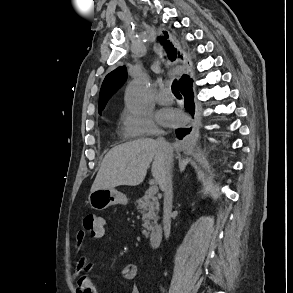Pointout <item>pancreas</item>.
Returning <instances> with one entry per match:
<instances>
[{
    "mask_svg": "<svg viewBox=\"0 0 293 293\" xmlns=\"http://www.w3.org/2000/svg\"><path fill=\"white\" fill-rule=\"evenodd\" d=\"M137 209L142 214L143 231L145 236H148L150 231L153 230L152 221L157 220V213L159 211V202L157 197L149 195L148 192L136 201Z\"/></svg>",
    "mask_w": 293,
    "mask_h": 293,
    "instance_id": "obj_1",
    "label": "pancreas"
}]
</instances>
